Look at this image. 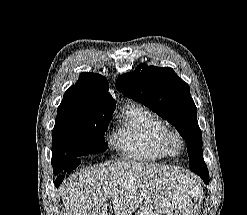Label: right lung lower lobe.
Masks as SVG:
<instances>
[{
  "label": "right lung lower lobe",
  "mask_w": 247,
  "mask_h": 215,
  "mask_svg": "<svg viewBox=\"0 0 247 215\" xmlns=\"http://www.w3.org/2000/svg\"><path fill=\"white\" fill-rule=\"evenodd\" d=\"M81 160L82 159H76V162L77 163H81ZM66 171H63V172H60V173H55V175H57L58 177H57V179H56V181H55V186L56 187H58L59 186V184L62 182V180H63V178H64V173H65Z\"/></svg>",
  "instance_id": "98d812e1"
}]
</instances>
